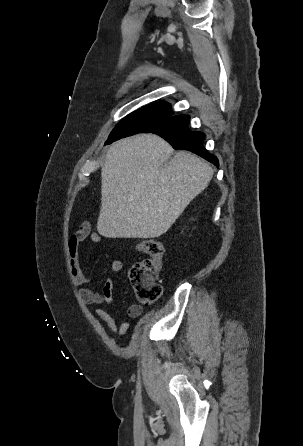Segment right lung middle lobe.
Instances as JSON below:
<instances>
[{"mask_svg": "<svg viewBox=\"0 0 303 446\" xmlns=\"http://www.w3.org/2000/svg\"><path fill=\"white\" fill-rule=\"evenodd\" d=\"M170 115H172L170 105H166L160 110L139 109L116 125L109 135L106 144H110L120 138L141 133L148 126Z\"/></svg>", "mask_w": 303, "mask_h": 446, "instance_id": "1", "label": "right lung middle lobe"}]
</instances>
